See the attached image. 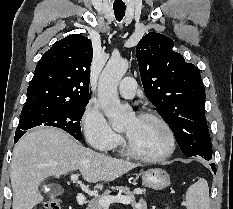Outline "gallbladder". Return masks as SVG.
Masks as SVG:
<instances>
[{"instance_id": "obj_1", "label": "gallbladder", "mask_w": 233, "mask_h": 209, "mask_svg": "<svg viewBox=\"0 0 233 209\" xmlns=\"http://www.w3.org/2000/svg\"><path fill=\"white\" fill-rule=\"evenodd\" d=\"M46 189H49V191ZM44 191L50 196H58L63 193V189L59 186H45Z\"/></svg>"}]
</instances>
